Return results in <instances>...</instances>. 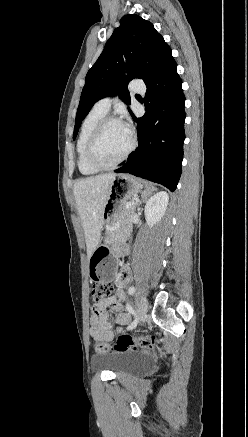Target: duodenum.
Instances as JSON below:
<instances>
[{
    "mask_svg": "<svg viewBox=\"0 0 248 437\" xmlns=\"http://www.w3.org/2000/svg\"><path fill=\"white\" fill-rule=\"evenodd\" d=\"M120 251L124 253V252H125V249L122 248Z\"/></svg>",
    "mask_w": 248,
    "mask_h": 437,
    "instance_id": "410a0bca",
    "label": "duodenum"
}]
</instances>
